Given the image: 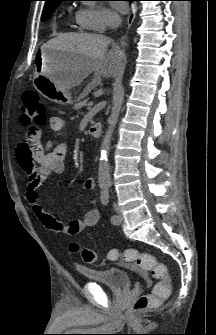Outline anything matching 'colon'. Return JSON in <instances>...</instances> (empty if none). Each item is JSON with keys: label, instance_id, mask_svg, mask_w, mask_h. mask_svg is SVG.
<instances>
[{"label": "colon", "instance_id": "colon-1", "mask_svg": "<svg viewBox=\"0 0 216 335\" xmlns=\"http://www.w3.org/2000/svg\"><path fill=\"white\" fill-rule=\"evenodd\" d=\"M45 107L40 99L38 92L27 89L22 94V122L25 126L28 124H39L40 127L46 121ZM70 250L77 253L85 263L95 264L98 261V255L95 251L88 248H81L75 243L70 244ZM108 259H121L125 263L133 264L143 272L148 273L152 278L158 280L152 293L144 294L137 298L133 309L142 311L155 306L160 300L167 299L171 294L172 284L164 264L157 262L156 258L146 252L129 248L122 252L116 249L108 253Z\"/></svg>", "mask_w": 216, "mask_h": 335}]
</instances>
